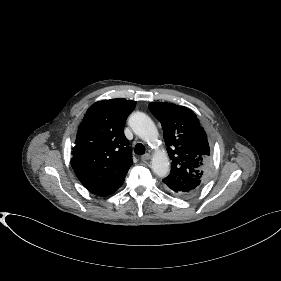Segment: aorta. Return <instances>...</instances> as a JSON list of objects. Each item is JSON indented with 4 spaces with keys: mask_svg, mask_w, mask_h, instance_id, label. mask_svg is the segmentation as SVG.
Wrapping results in <instances>:
<instances>
[{
    "mask_svg": "<svg viewBox=\"0 0 281 281\" xmlns=\"http://www.w3.org/2000/svg\"><path fill=\"white\" fill-rule=\"evenodd\" d=\"M129 125L136 135L148 144L158 141L159 133L152 119L142 112H135L129 118ZM151 168L159 177H165L170 171L169 159L165 151H156L152 157Z\"/></svg>",
    "mask_w": 281,
    "mask_h": 281,
    "instance_id": "aorta-1",
    "label": "aorta"
}]
</instances>
